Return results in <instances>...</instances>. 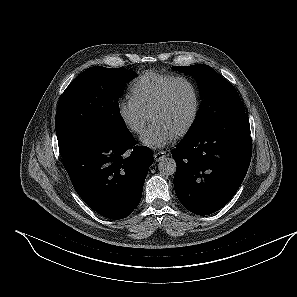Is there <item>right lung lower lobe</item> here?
<instances>
[{
  "label": "right lung lower lobe",
  "instance_id": "obj_1",
  "mask_svg": "<svg viewBox=\"0 0 297 297\" xmlns=\"http://www.w3.org/2000/svg\"><path fill=\"white\" fill-rule=\"evenodd\" d=\"M82 200L109 219L127 217L139 204L153 154L131 133L91 136L62 157Z\"/></svg>",
  "mask_w": 297,
  "mask_h": 297
}]
</instances>
